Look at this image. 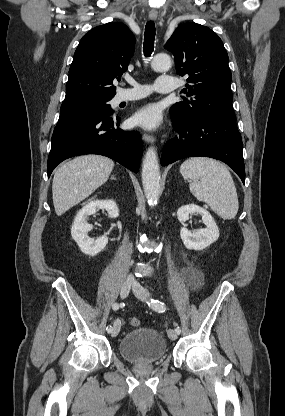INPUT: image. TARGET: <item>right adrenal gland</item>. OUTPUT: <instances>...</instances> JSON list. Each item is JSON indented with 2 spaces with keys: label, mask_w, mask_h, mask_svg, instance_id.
I'll list each match as a JSON object with an SVG mask.
<instances>
[{
  "label": "right adrenal gland",
  "mask_w": 285,
  "mask_h": 416,
  "mask_svg": "<svg viewBox=\"0 0 285 416\" xmlns=\"http://www.w3.org/2000/svg\"><path fill=\"white\" fill-rule=\"evenodd\" d=\"M110 180H116V178H114V176H111Z\"/></svg>",
  "instance_id": "2a0ac1e0"
}]
</instances>
